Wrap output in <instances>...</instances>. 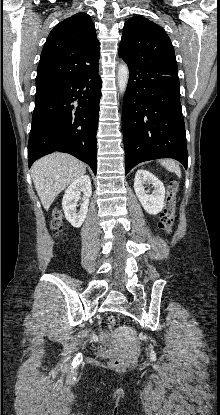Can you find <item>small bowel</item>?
<instances>
[{"label": "small bowel", "instance_id": "obj_1", "mask_svg": "<svg viewBox=\"0 0 220 415\" xmlns=\"http://www.w3.org/2000/svg\"><path fill=\"white\" fill-rule=\"evenodd\" d=\"M104 341L107 342V339L105 337H103Z\"/></svg>", "mask_w": 220, "mask_h": 415}]
</instances>
